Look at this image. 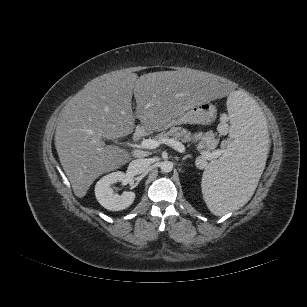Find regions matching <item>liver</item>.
<instances>
[{
  "label": "liver",
  "mask_w": 307,
  "mask_h": 307,
  "mask_svg": "<svg viewBox=\"0 0 307 307\" xmlns=\"http://www.w3.org/2000/svg\"><path fill=\"white\" fill-rule=\"evenodd\" d=\"M230 94L227 85L215 84L190 69L140 77L115 71L93 79L62 109L55 132V147L74 194L84 197L95 179L131 159L129 152L102 139L131 134L135 117L150 129L168 123L194 104L212 103Z\"/></svg>",
  "instance_id": "obj_1"
}]
</instances>
